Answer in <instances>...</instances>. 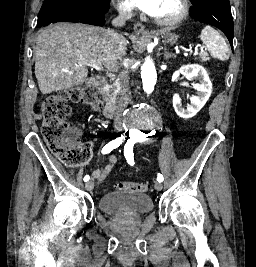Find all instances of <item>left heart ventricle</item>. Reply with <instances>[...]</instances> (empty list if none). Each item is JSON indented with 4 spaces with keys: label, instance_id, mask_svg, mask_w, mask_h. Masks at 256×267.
I'll list each match as a JSON object with an SVG mask.
<instances>
[{
    "label": "left heart ventricle",
    "instance_id": "b2bd125f",
    "mask_svg": "<svg viewBox=\"0 0 256 267\" xmlns=\"http://www.w3.org/2000/svg\"><path fill=\"white\" fill-rule=\"evenodd\" d=\"M176 14H177L176 8L170 4L162 17L163 23L171 22L176 16Z\"/></svg>",
    "mask_w": 256,
    "mask_h": 267
}]
</instances>
